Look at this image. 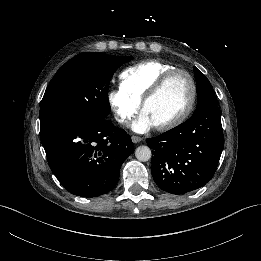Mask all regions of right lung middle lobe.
I'll use <instances>...</instances> for the list:
<instances>
[{
    "label": "right lung middle lobe",
    "mask_w": 261,
    "mask_h": 261,
    "mask_svg": "<svg viewBox=\"0 0 261 261\" xmlns=\"http://www.w3.org/2000/svg\"><path fill=\"white\" fill-rule=\"evenodd\" d=\"M131 59L130 56L85 52L66 62L43 96L41 131L63 120L106 118L110 113V79L119 66Z\"/></svg>",
    "instance_id": "right-lung-middle-lobe-1"
}]
</instances>
